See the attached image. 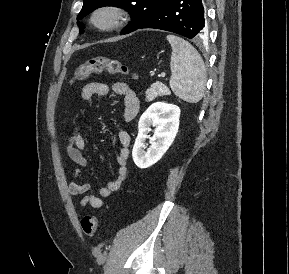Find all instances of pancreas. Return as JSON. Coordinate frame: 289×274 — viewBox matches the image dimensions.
Wrapping results in <instances>:
<instances>
[{"instance_id":"obj_1","label":"pancreas","mask_w":289,"mask_h":274,"mask_svg":"<svg viewBox=\"0 0 289 274\" xmlns=\"http://www.w3.org/2000/svg\"><path fill=\"white\" fill-rule=\"evenodd\" d=\"M170 95V90L161 82L153 83L146 91V101L151 102L158 96Z\"/></svg>"}]
</instances>
